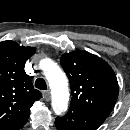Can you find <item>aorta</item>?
I'll return each instance as SVG.
<instances>
[{"mask_svg": "<svg viewBox=\"0 0 130 130\" xmlns=\"http://www.w3.org/2000/svg\"><path fill=\"white\" fill-rule=\"evenodd\" d=\"M40 65L44 68L45 77L52 94L53 111L60 115L68 108L69 90L65 73L50 59H43Z\"/></svg>", "mask_w": 130, "mask_h": 130, "instance_id": "1", "label": "aorta"}]
</instances>
